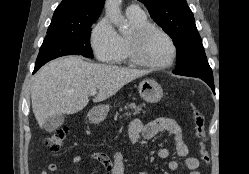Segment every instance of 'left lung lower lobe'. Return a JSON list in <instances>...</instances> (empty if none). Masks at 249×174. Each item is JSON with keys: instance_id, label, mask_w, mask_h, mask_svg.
<instances>
[{"instance_id": "obj_1", "label": "left lung lower lobe", "mask_w": 249, "mask_h": 174, "mask_svg": "<svg viewBox=\"0 0 249 174\" xmlns=\"http://www.w3.org/2000/svg\"><path fill=\"white\" fill-rule=\"evenodd\" d=\"M200 79H202L203 81H205L212 89V91L215 93V87H214V80L213 78H204V77H198Z\"/></svg>"}]
</instances>
